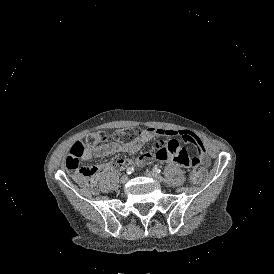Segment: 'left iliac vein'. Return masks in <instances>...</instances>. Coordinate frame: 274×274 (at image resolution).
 I'll list each match as a JSON object with an SVG mask.
<instances>
[{
	"mask_svg": "<svg viewBox=\"0 0 274 274\" xmlns=\"http://www.w3.org/2000/svg\"><path fill=\"white\" fill-rule=\"evenodd\" d=\"M145 175L148 176V177H151V178L155 179L158 182H162L163 181V177L160 176L159 174L153 172V171H146Z\"/></svg>",
	"mask_w": 274,
	"mask_h": 274,
	"instance_id": "left-iliac-vein-1",
	"label": "left iliac vein"
}]
</instances>
